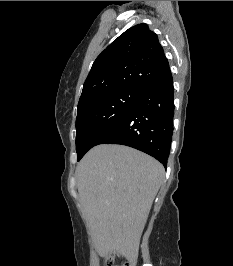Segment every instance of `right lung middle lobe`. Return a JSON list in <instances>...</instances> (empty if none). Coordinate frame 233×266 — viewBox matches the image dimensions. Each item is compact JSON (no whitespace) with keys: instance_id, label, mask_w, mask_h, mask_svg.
Here are the masks:
<instances>
[{"instance_id":"1","label":"right lung middle lobe","mask_w":233,"mask_h":266,"mask_svg":"<svg viewBox=\"0 0 233 266\" xmlns=\"http://www.w3.org/2000/svg\"><path fill=\"white\" fill-rule=\"evenodd\" d=\"M142 90L121 89L102 93L78 104L76 150L78 160L134 105Z\"/></svg>"}]
</instances>
